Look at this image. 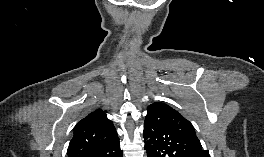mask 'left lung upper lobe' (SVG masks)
I'll return each instance as SVG.
<instances>
[{
  "label": "left lung upper lobe",
  "mask_w": 264,
  "mask_h": 157,
  "mask_svg": "<svg viewBox=\"0 0 264 157\" xmlns=\"http://www.w3.org/2000/svg\"><path fill=\"white\" fill-rule=\"evenodd\" d=\"M147 109L144 143L158 157H210L208 150L202 149L193 125L178 111L160 102Z\"/></svg>",
  "instance_id": "1"
}]
</instances>
